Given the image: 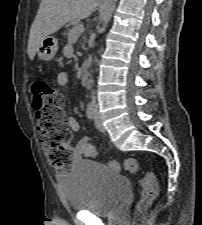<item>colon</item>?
Listing matches in <instances>:
<instances>
[{
  "label": "colon",
  "mask_w": 202,
  "mask_h": 225,
  "mask_svg": "<svg viewBox=\"0 0 202 225\" xmlns=\"http://www.w3.org/2000/svg\"><path fill=\"white\" fill-rule=\"evenodd\" d=\"M35 102V128L44 153L51 165L59 172L68 171L71 166L73 149L71 147L72 132L66 123L63 111V97L52 85L39 79L33 84ZM110 166L119 168L117 160H111ZM128 173H136L139 162L136 158H128L124 162ZM140 198L135 207V221L147 211L157 199L159 189L156 177L146 172L139 180Z\"/></svg>",
  "instance_id": "5ec220e1"
}]
</instances>
